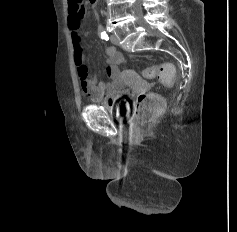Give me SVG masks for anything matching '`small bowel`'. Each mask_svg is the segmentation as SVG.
Masks as SVG:
<instances>
[{"label":"small bowel","instance_id":"obj_1","mask_svg":"<svg viewBox=\"0 0 237 232\" xmlns=\"http://www.w3.org/2000/svg\"><path fill=\"white\" fill-rule=\"evenodd\" d=\"M82 17H77L71 13L68 16V27L71 34L74 63L80 76V83L83 92L93 101L104 100L107 104H112L120 98L125 89V84L120 72V66L124 63L123 55L114 47L106 48L107 65L105 73L109 81H97L88 75L85 65L84 51L82 47V37L80 33Z\"/></svg>","mask_w":237,"mask_h":232}]
</instances>
